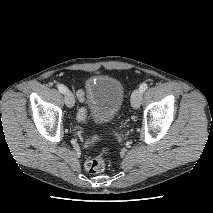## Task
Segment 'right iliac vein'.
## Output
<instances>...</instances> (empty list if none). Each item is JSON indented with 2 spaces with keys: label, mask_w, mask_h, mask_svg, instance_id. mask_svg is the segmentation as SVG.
Returning a JSON list of instances; mask_svg holds the SVG:
<instances>
[{
  "label": "right iliac vein",
  "mask_w": 213,
  "mask_h": 213,
  "mask_svg": "<svg viewBox=\"0 0 213 213\" xmlns=\"http://www.w3.org/2000/svg\"><path fill=\"white\" fill-rule=\"evenodd\" d=\"M64 100H65L66 106L69 108H72L75 104L74 95L69 90L65 92Z\"/></svg>",
  "instance_id": "63e3f726"
}]
</instances>
